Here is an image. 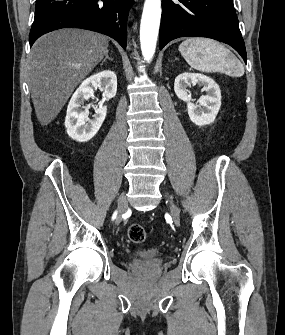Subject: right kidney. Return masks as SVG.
<instances>
[{
    "label": "right kidney",
    "instance_id": "ca27d5eb",
    "mask_svg": "<svg viewBox=\"0 0 285 335\" xmlns=\"http://www.w3.org/2000/svg\"><path fill=\"white\" fill-rule=\"evenodd\" d=\"M93 88H99L104 96L110 100L114 98L117 92V76L111 70H104L99 74L90 76L82 82L81 86L74 92L67 108L65 118V128L68 136L76 142H88L99 128H101L107 114V106L95 108L93 120H89L87 112H83L82 106L85 100H89L93 96ZM88 122V124H86Z\"/></svg>",
    "mask_w": 285,
    "mask_h": 335
}]
</instances>
